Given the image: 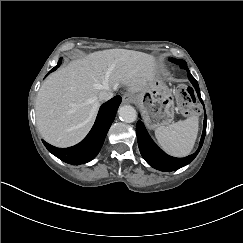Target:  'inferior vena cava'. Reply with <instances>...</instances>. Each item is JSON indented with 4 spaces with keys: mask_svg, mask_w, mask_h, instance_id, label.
<instances>
[{
    "mask_svg": "<svg viewBox=\"0 0 243 243\" xmlns=\"http://www.w3.org/2000/svg\"><path fill=\"white\" fill-rule=\"evenodd\" d=\"M114 96L113 90L108 86L99 92L98 98L100 101H107Z\"/></svg>",
    "mask_w": 243,
    "mask_h": 243,
    "instance_id": "inferior-vena-cava-1",
    "label": "inferior vena cava"
}]
</instances>
